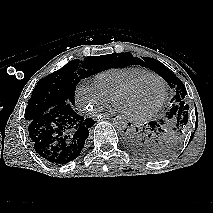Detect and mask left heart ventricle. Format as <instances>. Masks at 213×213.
<instances>
[{
	"label": "left heart ventricle",
	"mask_w": 213,
	"mask_h": 213,
	"mask_svg": "<svg viewBox=\"0 0 213 213\" xmlns=\"http://www.w3.org/2000/svg\"><path fill=\"white\" fill-rule=\"evenodd\" d=\"M163 97V85L157 78L148 77L122 95L117 104L125 113L140 115L153 109Z\"/></svg>",
	"instance_id": "1"
}]
</instances>
